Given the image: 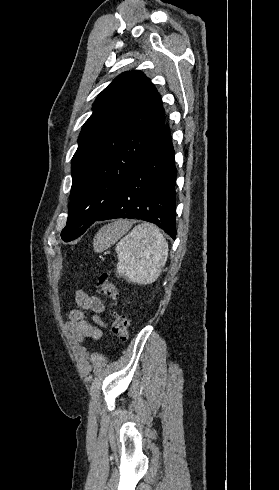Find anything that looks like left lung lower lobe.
I'll list each match as a JSON object with an SVG mask.
<instances>
[{"mask_svg":"<svg viewBox=\"0 0 279 490\" xmlns=\"http://www.w3.org/2000/svg\"><path fill=\"white\" fill-rule=\"evenodd\" d=\"M176 168L169 127L164 124L147 144L97 221L129 218L156 224L176 237Z\"/></svg>","mask_w":279,"mask_h":490,"instance_id":"1","label":"left lung lower lobe"}]
</instances>
